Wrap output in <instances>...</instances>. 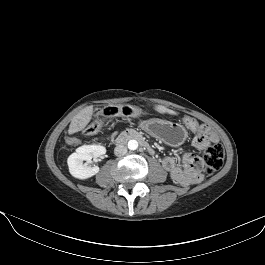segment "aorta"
Wrapping results in <instances>:
<instances>
[{"instance_id":"762f6f07","label":"aorta","mask_w":265,"mask_h":265,"mask_svg":"<svg viewBox=\"0 0 265 265\" xmlns=\"http://www.w3.org/2000/svg\"><path fill=\"white\" fill-rule=\"evenodd\" d=\"M138 148V142L136 140H129L128 142V149L129 150H136Z\"/></svg>"}]
</instances>
